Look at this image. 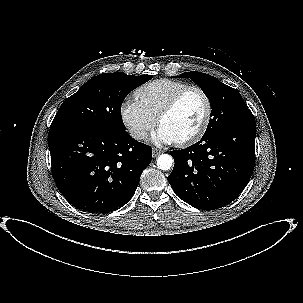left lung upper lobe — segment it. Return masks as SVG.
<instances>
[{
    "mask_svg": "<svg viewBox=\"0 0 303 303\" xmlns=\"http://www.w3.org/2000/svg\"><path fill=\"white\" fill-rule=\"evenodd\" d=\"M176 77L190 78L210 101L212 118L204 135L231 126L255 123L253 114L236 89L223 84L211 75L197 71L186 72Z\"/></svg>",
    "mask_w": 303,
    "mask_h": 303,
    "instance_id": "obj_1",
    "label": "left lung upper lobe"
}]
</instances>
